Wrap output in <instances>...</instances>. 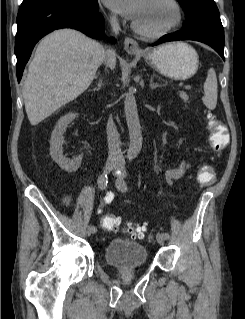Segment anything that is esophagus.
<instances>
[{
  "instance_id": "1",
  "label": "esophagus",
  "mask_w": 245,
  "mask_h": 319,
  "mask_svg": "<svg viewBox=\"0 0 245 319\" xmlns=\"http://www.w3.org/2000/svg\"><path fill=\"white\" fill-rule=\"evenodd\" d=\"M124 48L129 54L142 53L138 43L131 37H126L124 40Z\"/></svg>"
}]
</instances>
